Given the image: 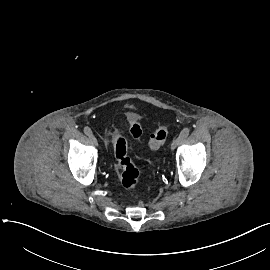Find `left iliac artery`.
Instances as JSON below:
<instances>
[{
  "label": "left iliac artery",
  "instance_id": "44dca946",
  "mask_svg": "<svg viewBox=\"0 0 270 270\" xmlns=\"http://www.w3.org/2000/svg\"><path fill=\"white\" fill-rule=\"evenodd\" d=\"M189 128H184L181 133H180V137L182 138V140H184L185 138H187V136L189 135Z\"/></svg>",
  "mask_w": 270,
  "mask_h": 270
}]
</instances>
